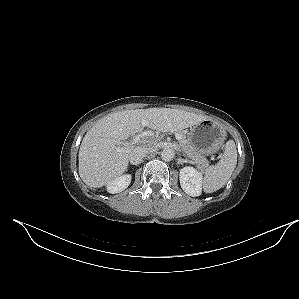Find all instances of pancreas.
I'll return each instance as SVG.
<instances>
[{"label":"pancreas","instance_id":"1","mask_svg":"<svg viewBox=\"0 0 299 299\" xmlns=\"http://www.w3.org/2000/svg\"><path fill=\"white\" fill-rule=\"evenodd\" d=\"M176 134H180L182 136V139L179 141L180 146L183 150V152L192 160L195 161L198 169L204 170L208 165V160L205 158L204 155H202L200 152H198L186 139L185 133L182 131H177Z\"/></svg>","mask_w":299,"mask_h":299}]
</instances>
